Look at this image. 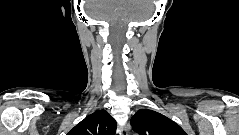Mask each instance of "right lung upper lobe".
<instances>
[{
	"instance_id": "obj_1",
	"label": "right lung upper lobe",
	"mask_w": 239,
	"mask_h": 135,
	"mask_svg": "<svg viewBox=\"0 0 239 135\" xmlns=\"http://www.w3.org/2000/svg\"><path fill=\"white\" fill-rule=\"evenodd\" d=\"M117 124L106 110H98L88 115L67 135H113Z\"/></svg>"
}]
</instances>
